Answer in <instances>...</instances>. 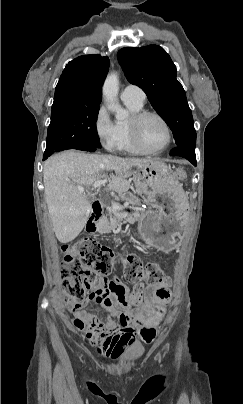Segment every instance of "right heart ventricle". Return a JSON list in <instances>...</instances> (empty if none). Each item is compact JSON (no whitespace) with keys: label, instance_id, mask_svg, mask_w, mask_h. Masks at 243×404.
Listing matches in <instances>:
<instances>
[{"label":"right heart ventricle","instance_id":"obj_1","mask_svg":"<svg viewBox=\"0 0 243 404\" xmlns=\"http://www.w3.org/2000/svg\"><path fill=\"white\" fill-rule=\"evenodd\" d=\"M124 105L130 111L131 115H134L141 111L144 107V102L137 100L136 98H122ZM127 122H118L116 124L119 135V152L124 155L142 156L147 153L139 149L132 141Z\"/></svg>","mask_w":243,"mask_h":404}]
</instances>
